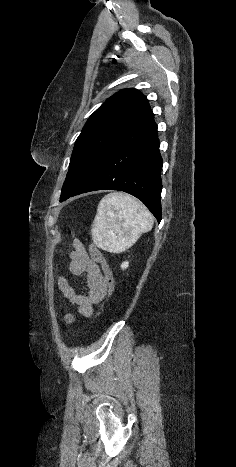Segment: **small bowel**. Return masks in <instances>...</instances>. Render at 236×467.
Segmentation results:
<instances>
[{"label":"small bowel","instance_id":"small-bowel-1","mask_svg":"<svg viewBox=\"0 0 236 467\" xmlns=\"http://www.w3.org/2000/svg\"><path fill=\"white\" fill-rule=\"evenodd\" d=\"M70 259V272L74 276H85L88 292L86 294L77 293L64 276L58 278V288L64 297L76 306L80 315L90 317L93 314L94 305L99 304L109 294L105 277L98 263L89 257L83 245L78 241L72 243ZM66 319L71 321L72 317L68 315Z\"/></svg>","mask_w":236,"mask_h":467}]
</instances>
